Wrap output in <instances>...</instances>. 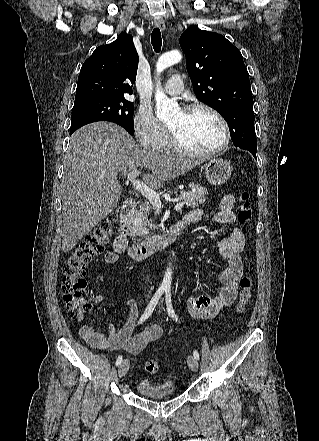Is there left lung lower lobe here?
Here are the masks:
<instances>
[{"label": "left lung lower lobe", "instance_id": "obj_1", "mask_svg": "<svg viewBox=\"0 0 319 441\" xmlns=\"http://www.w3.org/2000/svg\"><path fill=\"white\" fill-rule=\"evenodd\" d=\"M251 153H253L254 157H256V152H251Z\"/></svg>", "mask_w": 319, "mask_h": 441}]
</instances>
